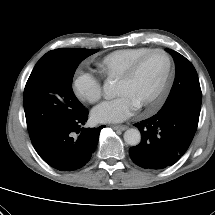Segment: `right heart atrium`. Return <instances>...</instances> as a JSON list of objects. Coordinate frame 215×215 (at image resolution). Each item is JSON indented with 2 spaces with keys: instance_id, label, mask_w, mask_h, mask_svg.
I'll list each match as a JSON object with an SVG mask.
<instances>
[{
  "instance_id": "right-heart-atrium-1",
  "label": "right heart atrium",
  "mask_w": 215,
  "mask_h": 215,
  "mask_svg": "<svg viewBox=\"0 0 215 215\" xmlns=\"http://www.w3.org/2000/svg\"><path fill=\"white\" fill-rule=\"evenodd\" d=\"M73 90L78 99L88 103H95L102 96L100 79L87 71L76 72L73 79Z\"/></svg>"
}]
</instances>
